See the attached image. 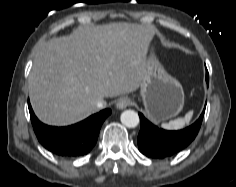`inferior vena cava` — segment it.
<instances>
[{
    "label": "inferior vena cava",
    "instance_id": "obj_1",
    "mask_svg": "<svg viewBox=\"0 0 236 187\" xmlns=\"http://www.w3.org/2000/svg\"><path fill=\"white\" fill-rule=\"evenodd\" d=\"M96 106L98 109H103L107 106V103L105 100H99L97 103H96Z\"/></svg>",
    "mask_w": 236,
    "mask_h": 187
}]
</instances>
